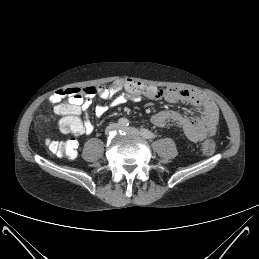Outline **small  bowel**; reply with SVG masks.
<instances>
[{
    "instance_id": "obj_1",
    "label": "small bowel",
    "mask_w": 259,
    "mask_h": 259,
    "mask_svg": "<svg viewBox=\"0 0 259 259\" xmlns=\"http://www.w3.org/2000/svg\"><path fill=\"white\" fill-rule=\"evenodd\" d=\"M146 88L148 92L145 94L132 93L121 84V81H118L111 86H88L79 91H75L78 88L59 90L50 96L49 101L54 105L55 113L61 117L60 124L67 119H75L78 122V130L74 133L76 136L92 133V123L88 120L82 121L81 114L90 109L96 96L109 101L108 106H96L95 115L97 117H103L109 107H117L129 101L139 103L143 98L165 100L170 103L183 102L196 107L199 117L189 118L177 111L162 110L151 117V123L157 127L173 123L180 127L187 139L192 142H200L214 135L219 111L210 98L193 89L157 88L147 85ZM121 90L124 92L119 93ZM64 97H68V101L61 103Z\"/></svg>"
}]
</instances>
